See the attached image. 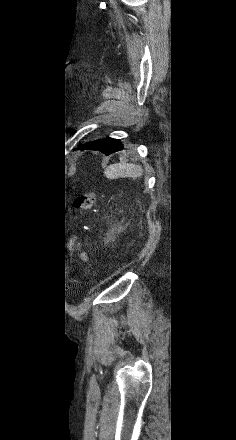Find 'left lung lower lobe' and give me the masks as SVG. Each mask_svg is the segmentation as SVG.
<instances>
[{
	"instance_id": "left-lung-lower-lobe-1",
	"label": "left lung lower lobe",
	"mask_w": 236,
	"mask_h": 440,
	"mask_svg": "<svg viewBox=\"0 0 236 440\" xmlns=\"http://www.w3.org/2000/svg\"><path fill=\"white\" fill-rule=\"evenodd\" d=\"M84 147L86 149H90V150H99L106 155H109L111 153H114L116 151H120L123 149V145L121 144L120 140L109 138V137L102 139V140L89 142V143L85 144ZM82 150H84L83 147H82Z\"/></svg>"
}]
</instances>
